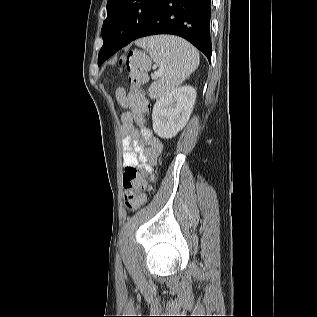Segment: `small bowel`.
<instances>
[{
	"label": "small bowel",
	"instance_id": "1",
	"mask_svg": "<svg viewBox=\"0 0 317 317\" xmlns=\"http://www.w3.org/2000/svg\"><path fill=\"white\" fill-rule=\"evenodd\" d=\"M116 99L125 110L121 115L123 166L150 169L161 154L163 143L146 127H140V129L135 127V123L142 122V115L149 110L150 105L143 93L136 88L130 91L118 88Z\"/></svg>",
	"mask_w": 317,
	"mask_h": 317
}]
</instances>
